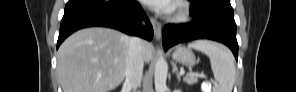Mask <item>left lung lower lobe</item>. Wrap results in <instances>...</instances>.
<instances>
[{"label":"left lung lower lobe","mask_w":296,"mask_h":92,"mask_svg":"<svg viewBox=\"0 0 296 92\" xmlns=\"http://www.w3.org/2000/svg\"><path fill=\"white\" fill-rule=\"evenodd\" d=\"M193 20L186 24L166 25L162 32L163 46H171L195 39H211L227 45L238 59L236 23L233 9L228 5L202 6L193 5L190 9Z\"/></svg>","instance_id":"left-lung-lower-lobe-1"}]
</instances>
